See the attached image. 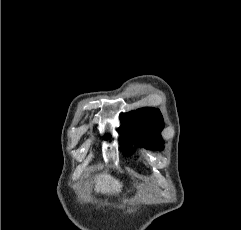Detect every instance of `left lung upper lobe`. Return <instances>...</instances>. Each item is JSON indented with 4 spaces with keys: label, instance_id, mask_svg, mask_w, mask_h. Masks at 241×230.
I'll use <instances>...</instances> for the list:
<instances>
[{
    "label": "left lung upper lobe",
    "instance_id": "1",
    "mask_svg": "<svg viewBox=\"0 0 241 230\" xmlns=\"http://www.w3.org/2000/svg\"><path fill=\"white\" fill-rule=\"evenodd\" d=\"M121 121V142L131 140L134 141L136 145L152 150L163 148L164 142L160 132L164 128V121L158 109L140 108L125 113L121 117ZM121 147H124L122 151L124 155L131 154L132 148L128 143H125Z\"/></svg>",
    "mask_w": 241,
    "mask_h": 230
}]
</instances>
